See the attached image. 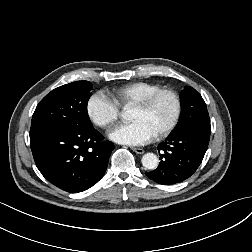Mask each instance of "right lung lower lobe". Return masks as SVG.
Segmentation results:
<instances>
[{"instance_id": "right-lung-lower-lobe-1", "label": "right lung lower lobe", "mask_w": 252, "mask_h": 252, "mask_svg": "<svg viewBox=\"0 0 252 252\" xmlns=\"http://www.w3.org/2000/svg\"><path fill=\"white\" fill-rule=\"evenodd\" d=\"M103 139L93 127L30 130L37 168L50 183L70 193L87 190L104 175L115 147Z\"/></svg>"}]
</instances>
